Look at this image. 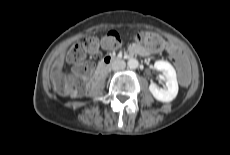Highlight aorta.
<instances>
[{"mask_svg":"<svg viewBox=\"0 0 230 155\" xmlns=\"http://www.w3.org/2000/svg\"><path fill=\"white\" fill-rule=\"evenodd\" d=\"M127 65L130 69H136L139 66V62L137 59L132 58L128 60Z\"/></svg>","mask_w":230,"mask_h":155,"instance_id":"obj_1","label":"aorta"}]
</instances>
